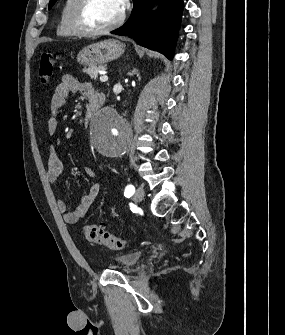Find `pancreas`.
<instances>
[{
	"label": "pancreas",
	"instance_id": "cf45deb5",
	"mask_svg": "<svg viewBox=\"0 0 285 335\" xmlns=\"http://www.w3.org/2000/svg\"><path fill=\"white\" fill-rule=\"evenodd\" d=\"M99 70H106V66H90V68H85L84 72L88 74L89 81H94L95 80L94 72H99Z\"/></svg>",
	"mask_w": 285,
	"mask_h": 335
}]
</instances>
